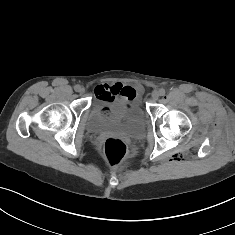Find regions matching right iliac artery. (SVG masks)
I'll use <instances>...</instances> for the list:
<instances>
[{
	"instance_id": "right-iliac-artery-1",
	"label": "right iliac artery",
	"mask_w": 235,
	"mask_h": 235,
	"mask_svg": "<svg viewBox=\"0 0 235 235\" xmlns=\"http://www.w3.org/2000/svg\"><path fill=\"white\" fill-rule=\"evenodd\" d=\"M80 85H75L74 90L78 92Z\"/></svg>"
}]
</instances>
